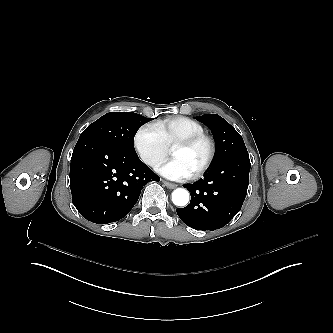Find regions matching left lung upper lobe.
I'll return each mask as SVG.
<instances>
[{
    "mask_svg": "<svg viewBox=\"0 0 333 333\" xmlns=\"http://www.w3.org/2000/svg\"><path fill=\"white\" fill-rule=\"evenodd\" d=\"M195 118L205 124L214 136L217 152L212 166L218 165L234 155L248 153L241 135L221 116L206 114Z\"/></svg>",
    "mask_w": 333,
    "mask_h": 333,
    "instance_id": "obj_1",
    "label": "left lung upper lobe"
}]
</instances>
